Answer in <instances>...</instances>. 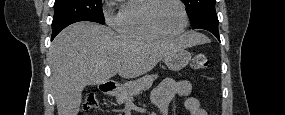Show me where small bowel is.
<instances>
[{
	"mask_svg": "<svg viewBox=\"0 0 285 115\" xmlns=\"http://www.w3.org/2000/svg\"><path fill=\"white\" fill-rule=\"evenodd\" d=\"M191 92V83L188 80L167 78L161 81L153 90L151 103L157 114L167 115L171 100L176 96H187ZM185 107L190 115H206V111L194 97H188Z\"/></svg>",
	"mask_w": 285,
	"mask_h": 115,
	"instance_id": "1",
	"label": "small bowel"
}]
</instances>
